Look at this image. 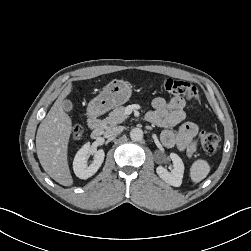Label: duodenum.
Masks as SVG:
<instances>
[{"instance_id": "1", "label": "duodenum", "mask_w": 251, "mask_h": 251, "mask_svg": "<svg viewBox=\"0 0 251 251\" xmlns=\"http://www.w3.org/2000/svg\"><path fill=\"white\" fill-rule=\"evenodd\" d=\"M88 126L91 131V137L93 139H98L103 134V126L99 121L98 114L96 111H92L88 118Z\"/></svg>"}]
</instances>
